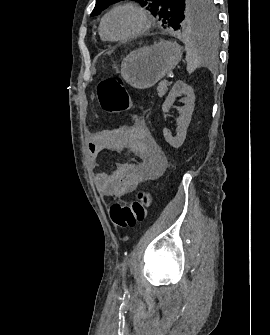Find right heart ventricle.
Here are the masks:
<instances>
[{"label": "right heart ventricle", "instance_id": "obj_1", "mask_svg": "<svg viewBox=\"0 0 270 335\" xmlns=\"http://www.w3.org/2000/svg\"><path fill=\"white\" fill-rule=\"evenodd\" d=\"M100 36H101V39L102 40H104V41H106L107 40V38L103 35V33L102 32H100Z\"/></svg>", "mask_w": 270, "mask_h": 335}]
</instances>
